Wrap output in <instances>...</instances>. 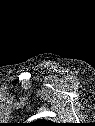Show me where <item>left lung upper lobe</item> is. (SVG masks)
<instances>
[{"label":"left lung upper lobe","mask_w":95,"mask_h":126,"mask_svg":"<svg viewBox=\"0 0 95 126\" xmlns=\"http://www.w3.org/2000/svg\"><path fill=\"white\" fill-rule=\"evenodd\" d=\"M34 126H52V123L47 122L45 120H40L38 122L33 123Z\"/></svg>","instance_id":"left-lung-upper-lobe-1"}]
</instances>
